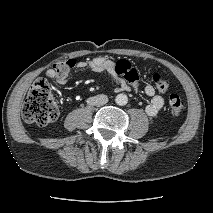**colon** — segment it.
I'll list each match as a JSON object with an SVG mask.
<instances>
[{"label":"colon","mask_w":213,"mask_h":213,"mask_svg":"<svg viewBox=\"0 0 213 213\" xmlns=\"http://www.w3.org/2000/svg\"><path fill=\"white\" fill-rule=\"evenodd\" d=\"M55 72L65 76L74 67V60L61 61L54 66ZM132 70V65L127 60H120L115 65V72L120 76H127ZM153 82L159 92H166L169 81L162 75H153ZM169 108L174 116H179L185 109L184 100L178 94L169 97ZM59 115V103L54 96L49 82L37 79L31 86L22 108V117L28 123L40 126L54 122Z\"/></svg>","instance_id":"5ec220e1"}]
</instances>
